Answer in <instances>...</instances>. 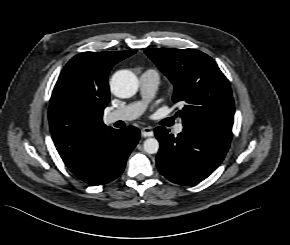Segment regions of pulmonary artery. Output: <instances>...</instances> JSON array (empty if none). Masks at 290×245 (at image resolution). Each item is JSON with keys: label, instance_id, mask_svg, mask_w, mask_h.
I'll return each mask as SVG.
<instances>
[{"label": "pulmonary artery", "instance_id": "1", "mask_svg": "<svg viewBox=\"0 0 290 245\" xmlns=\"http://www.w3.org/2000/svg\"><path fill=\"white\" fill-rule=\"evenodd\" d=\"M160 83L157 71L149 69L139 76V87L142 99L137 102L125 105L117 110H113L106 115L107 123L116 121H129L138 118L146 109L148 102L155 96ZM183 130L182 125L175 128V133L179 134Z\"/></svg>", "mask_w": 290, "mask_h": 245}]
</instances>
